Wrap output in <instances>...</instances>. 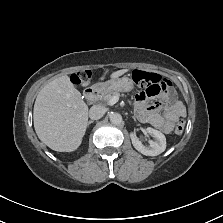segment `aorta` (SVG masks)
Masks as SVG:
<instances>
[{"label":"aorta","instance_id":"762f6f07","mask_svg":"<svg viewBox=\"0 0 223 223\" xmlns=\"http://www.w3.org/2000/svg\"><path fill=\"white\" fill-rule=\"evenodd\" d=\"M110 121L114 124H120L122 122V117L119 113H112L110 115Z\"/></svg>","mask_w":223,"mask_h":223}]
</instances>
